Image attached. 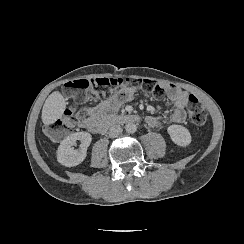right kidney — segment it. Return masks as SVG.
I'll use <instances>...</instances> for the list:
<instances>
[{
	"instance_id": "ca27d5eb",
	"label": "right kidney",
	"mask_w": 244,
	"mask_h": 244,
	"mask_svg": "<svg viewBox=\"0 0 244 244\" xmlns=\"http://www.w3.org/2000/svg\"><path fill=\"white\" fill-rule=\"evenodd\" d=\"M81 142L80 148L75 150L72 146L76 141ZM92 137L88 132H76L65 138L57 150V161L67 167L80 164L86 157L87 148L91 143Z\"/></svg>"
}]
</instances>
